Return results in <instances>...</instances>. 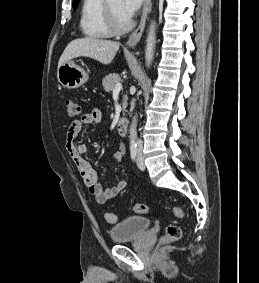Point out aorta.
<instances>
[{"instance_id":"aorta-1","label":"aorta","mask_w":259,"mask_h":283,"mask_svg":"<svg viewBox=\"0 0 259 283\" xmlns=\"http://www.w3.org/2000/svg\"><path fill=\"white\" fill-rule=\"evenodd\" d=\"M156 26L155 23H151L149 27V32L146 39V50H145V59L146 64L149 66L153 60L155 44H156V35H155ZM136 126H137V117L134 116L131 126H130V143L135 144L136 140Z\"/></svg>"}]
</instances>
